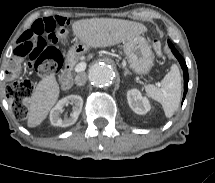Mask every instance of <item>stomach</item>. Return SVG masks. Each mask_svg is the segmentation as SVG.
<instances>
[{
  "mask_svg": "<svg viewBox=\"0 0 215 183\" xmlns=\"http://www.w3.org/2000/svg\"><path fill=\"white\" fill-rule=\"evenodd\" d=\"M123 47L131 69L140 75L149 73L153 66L154 54L147 40L137 35L124 42ZM86 50L87 47L83 43L75 44L67 54L68 61L78 58L84 54Z\"/></svg>",
  "mask_w": 215,
  "mask_h": 183,
  "instance_id": "stomach-1",
  "label": "stomach"
}]
</instances>
